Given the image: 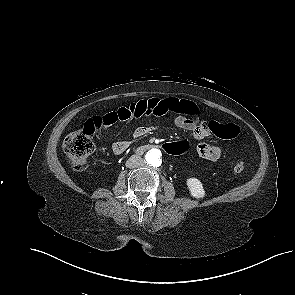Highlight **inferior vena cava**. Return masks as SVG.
Here are the masks:
<instances>
[{
  "mask_svg": "<svg viewBox=\"0 0 295 295\" xmlns=\"http://www.w3.org/2000/svg\"><path fill=\"white\" fill-rule=\"evenodd\" d=\"M144 163V160L137 155H132L127 161H126V167L128 168H137L142 166Z\"/></svg>",
  "mask_w": 295,
  "mask_h": 295,
  "instance_id": "602c4592",
  "label": "inferior vena cava"
}]
</instances>
